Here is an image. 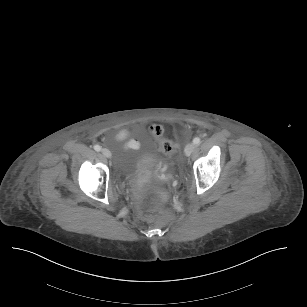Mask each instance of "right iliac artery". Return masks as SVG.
<instances>
[{
	"mask_svg": "<svg viewBox=\"0 0 307 307\" xmlns=\"http://www.w3.org/2000/svg\"><path fill=\"white\" fill-rule=\"evenodd\" d=\"M94 149H95L96 151H98V152H99V151H101V146H99V145H95V146H94Z\"/></svg>",
	"mask_w": 307,
	"mask_h": 307,
	"instance_id": "1",
	"label": "right iliac artery"
}]
</instances>
